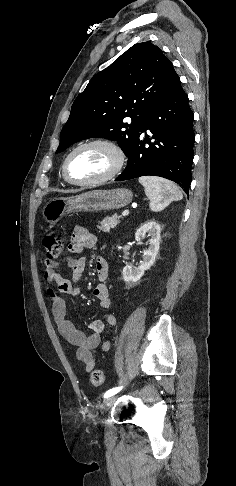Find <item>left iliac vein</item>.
Instances as JSON below:
<instances>
[{
  "mask_svg": "<svg viewBox=\"0 0 236 486\" xmlns=\"http://www.w3.org/2000/svg\"><path fill=\"white\" fill-rule=\"evenodd\" d=\"M115 400H116L115 396H110L106 398L101 404V410L102 411L108 410L114 404Z\"/></svg>",
  "mask_w": 236,
  "mask_h": 486,
  "instance_id": "obj_1",
  "label": "left iliac vein"
}]
</instances>
